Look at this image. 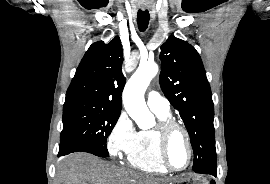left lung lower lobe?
I'll return each mask as SVG.
<instances>
[{"instance_id":"obj_1","label":"left lung lower lobe","mask_w":270,"mask_h":184,"mask_svg":"<svg viewBox=\"0 0 270 184\" xmlns=\"http://www.w3.org/2000/svg\"><path fill=\"white\" fill-rule=\"evenodd\" d=\"M200 173H203V174H211V175H214V176H216V174H217V168H215V169H209V170H204V171H201Z\"/></svg>"}]
</instances>
